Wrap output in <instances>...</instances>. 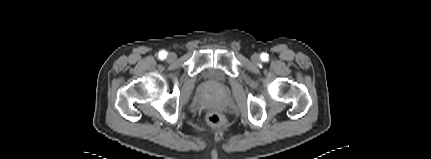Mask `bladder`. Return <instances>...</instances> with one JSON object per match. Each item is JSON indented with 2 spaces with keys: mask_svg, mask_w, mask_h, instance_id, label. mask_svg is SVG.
<instances>
[{
  "mask_svg": "<svg viewBox=\"0 0 431 159\" xmlns=\"http://www.w3.org/2000/svg\"><path fill=\"white\" fill-rule=\"evenodd\" d=\"M202 78L210 84H220L225 81V74L222 70L210 67L203 71Z\"/></svg>",
  "mask_w": 431,
  "mask_h": 159,
  "instance_id": "1",
  "label": "bladder"
}]
</instances>
